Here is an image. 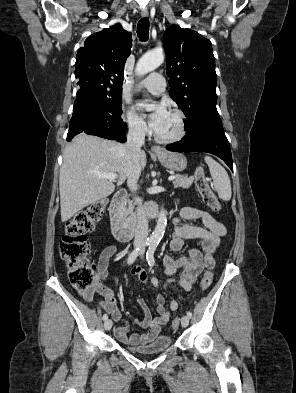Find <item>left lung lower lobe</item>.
Listing matches in <instances>:
<instances>
[{
    "mask_svg": "<svg viewBox=\"0 0 296 393\" xmlns=\"http://www.w3.org/2000/svg\"><path fill=\"white\" fill-rule=\"evenodd\" d=\"M174 152H207L220 157L233 171L229 142L220 118L197 123L179 142L166 146Z\"/></svg>",
    "mask_w": 296,
    "mask_h": 393,
    "instance_id": "0a47b994",
    "label": "left lung lower lobe"
}]
</instances>
